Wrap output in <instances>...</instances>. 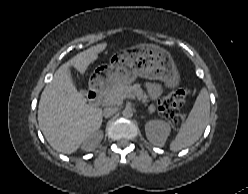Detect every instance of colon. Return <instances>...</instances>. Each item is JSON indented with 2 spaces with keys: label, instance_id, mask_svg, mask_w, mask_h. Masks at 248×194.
I'll use <instances>...</instances> for the list:
<instances>
[{
  "label": "colon",
  "instance_id": "1",
  "mask_svg": "<svg viewBox=\"0 0 248 194\" xmlns=\"http://www.w3.org/2000/svg\"><path fill=\"white\" fill-rule=\"evenodd\" d=\"M190 94L191 89L177 87L160 101L161 115L176 129H180L185 121V115L180 111V107Z\"/></svg>",
  "mask_w": 248,
  "mask_h": 194
}]
</instances>
